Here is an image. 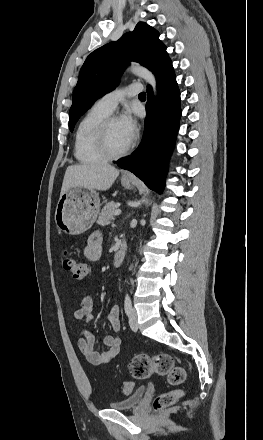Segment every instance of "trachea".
Listing matches in <instances>:
<instances>
[{
	"label": "trachea",
	"instance_id": "1",
	"mask_svg": "<svg viewBox=\"0 0 263 440\" xmlns=\"http://www.w3.org/2000/svg\"><path fill=\"white\" fill-rule=\"evenodd\" d=\"M139 97H146V93L145 92L140 93Z\"/></svg>",
	"mask_w": 263,
	"mask_h": 440
}]
</instances>
